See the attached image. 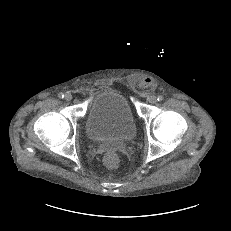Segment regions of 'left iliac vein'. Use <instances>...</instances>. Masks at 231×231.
<instances>
[{
  "mask_svg": "<svg viewBox=\"0 0 231 231\" xmlns=\"http://www.w3.org/2000/svg\"><path fill=\"white\" fill-rule=\"evenodd\" d=\"M148 101L151 104H155L157 102V98L154 95L148 97Z\"/></svg>",
  "mask_w": 231,
  "mask_h": 231,
  "instance_id": "obj_1",
  "label": "left iliac vein"
}]
</instances>
